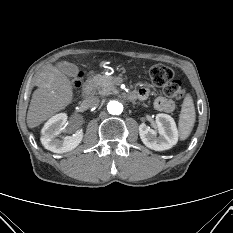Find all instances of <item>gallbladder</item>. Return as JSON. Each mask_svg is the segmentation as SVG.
Segmentation results:
<instances>
[{"mask_svg": "<svg viewBox=\"0 0 233 233\" xmlns=\"http://www.w3.org/2000/svg\"><path fill=\"white\" fill-rule=\"evenodd\" d=\"M58 67L63 73H65L69 77H76L79 73V68L73 63L64 61L59 63Z\"/></svg>", "mask_w": 233, "mask_h": 233, "instance_id": "1", "label": "gallbladder"}]
</instances>
